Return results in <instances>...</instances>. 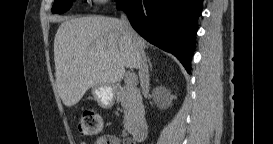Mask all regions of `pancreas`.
Instances as JSON below:
<instances>
[{"label":"pancreas","instance_id":"pancreas-1","mask_svg":"<svg viewBox=\"0 0 273 144\" xmlns=\"http://www.w3.org/2000/svg\"><path fill=\"white\" fill-rule=\"evenodd\" d=\"M117 101L124 109V128L130 130L144 115V106L139 89L136 86L127 85L117 92Z\"/></svg>","mask_w":273,"mask_h":144}]
</instances>
